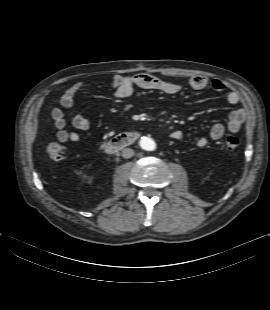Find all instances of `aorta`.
I'll use <instances>...</instances> for the list:
<instances>
[{
    "label": "aorta",
    "mask_w": 270,
    "mask_h": 310,
    "mask_svg": "<svg viewBox=\"0 0 270 310\" xmlns=\"http://www.w3.org/2000/svg\"><path fill=\"white\" fill-rule=\"evenodd\" d=\"M140 146L142 149L146 151H153L156 149V143L154 142L153 139L149 137H143L140 140Z\"/></svg>",
    "instance_id": "762f6f07"
}]
</instances>
